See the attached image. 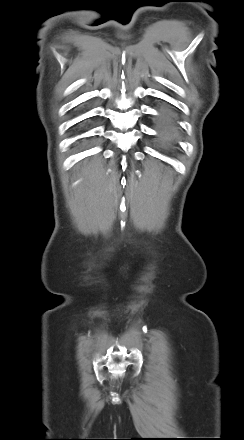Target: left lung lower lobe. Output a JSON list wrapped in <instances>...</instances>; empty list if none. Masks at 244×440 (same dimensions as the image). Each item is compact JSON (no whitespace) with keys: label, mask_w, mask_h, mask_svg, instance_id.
<instances>
[{"label":"left lung lower lobe","mask_w":244,"mask_h":440,"mask_svg":"<svg viewBox=\"0 0 244 440\" xmlns=\"http://www.w3.org/2000/svg\"><path fill=\"white\" fill-rule=\"evenodd\" d=\"M157 127L161 138L165 141H172L177 132V123L174 114L164 108L157 117Z\"/></svg>","instance_id":"1"}]
</instances>
